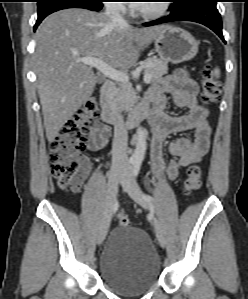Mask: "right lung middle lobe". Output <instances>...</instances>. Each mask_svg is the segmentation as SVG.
<instances>
[{"label": "right lung middle lobe", "mask_w": 248, "mask_h": 299, "mask_svg": "<svg viewBox=\"0 0 248 299\" xmlns=\"http://www.w3.org/2000/svg\"><path fill=\"white\" fill-rule=\"evenodd\" d=\"M50 0H38V6L48 2ZM88 1H91V2H101L102 0H88Z\"/></svg>", "instance_id": "right-lung-middle-lobe-1"}]
</instances>
